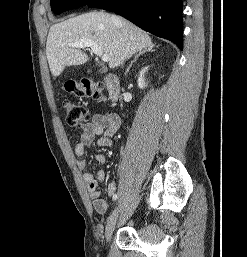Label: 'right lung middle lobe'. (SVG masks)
<instances>
[{
    "mask_svg": "<svg viewBox=\"0 0 247 257\" xmlns=\"http://www.w3.org/2000/svg\"><path fill=\"white\" fill-rule=\"evenodd\" d=\"M94 0H50L52 10L55 14H60L64 11L76 9L90 4Z\"/></svg>",
    "mask_w": 247,
    "mask_h": 257,
    "instance_id": "right-lung-middle-lobe-1",
    "label": "right lung middle lobe"
}]
</instances>
